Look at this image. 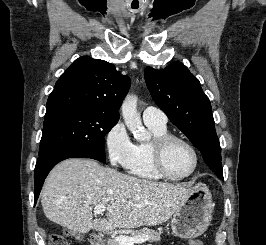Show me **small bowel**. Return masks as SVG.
Wrapping results in <instances>:
<instances>
[{"instance_id": "small-bowel-1", "label": "small bowel", "mask_w": 266, "mask_h": 245, "mask_svg": "<svg viewBox=\"0 0 266 245\" xmlns=\"http://www.w3.org/2000/svg\"><path fill=\"white\" fill-rule=\"evenodd\" d=\"M190 242H198V241H190Z\"/></svg>"}]
</instances>
